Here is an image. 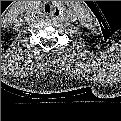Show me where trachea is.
I'll use <instances>...</instances> for the list:
<instances>
[{"instance_id": "obj_1", "label": "trachea", "mask_w": 121, "mask_h": 121, "mask_svg": "<svg viewBox=\"0 0 121 121\" xmlns=\"http://www.w3.org/2000/svg\"><path fill=\"white\" fill-rule=\"evenodd\" d=\"M40 12L45 15V16H49L52 14L53 12V8L50 4L48 3H43L40 7Z\"/></svg>"}]
</instances>
